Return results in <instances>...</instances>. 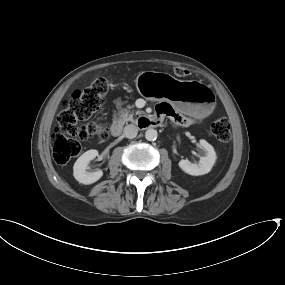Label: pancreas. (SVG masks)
<instances>
[{
    "label": "pancreas",
    "mask_w": 285,
    "mask_h": 285,
    "mask_svg": "<svg viewBox=\"0 0 285 285\" xmlns=\"http://www.w3.org/2000/svg\"><path fill=\"white\" fill-rule=\"evenodd\" d=\"M119 112H118V116H119V121L121 123H127V122H136V119H134V111H131L130 109L133 108V106H128L127 108H122L119 104L117 106ZM143 112L140 110H137L135 112L136 115H141Z\"/></svg>",
    "instance_id": "1"
}]
</instances>
